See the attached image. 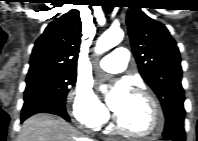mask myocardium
<instances>
[{"label": "myocardium", "mask_w": 198, "mask_h": 141, "mask_svg": "<svg viewBox=\"0 0 198 141\" xmlns=\"http://www.w3.org/2000/svg\"><path fill=\"white\" fill-rule=\"evenodd\" d=\"M133 94L142 96L148 100V102L151 105L152 109V121H153V127L150 131L146 133H138L135 131H132L128 128H126L120 121L118 115L116 114L114 117L115 125L118 130L123 132L124 134L134 137V138H140V139H148L152 138L158 135V133L161 130L162 127V114L160 110V106L156 98L147 90L142 88H136L133 90Z\"/></svg>", "instance_id": "myocardium-1"}]
</instances>
